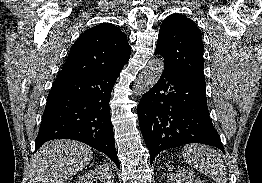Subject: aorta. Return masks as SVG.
Masks as SVG:
<instances>
[{"mask_svg":"<svg viewBox=\"0 0 262 183\" xmlns=\"http://www.w3.org/2000/svg\"><path fill=\"white\" fill-rule=\"evenodd\" d=\"M164 70L162 58H154L148 62L133 85V91L137 95L148 92L160 79Z\"/></svg>","mask_w":262,"mask_h":183,"instance_id":"1","label":"aorta"}]
</instances>
